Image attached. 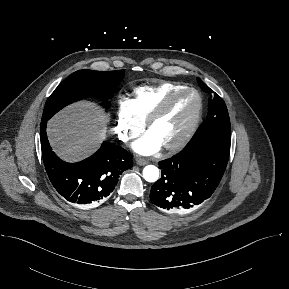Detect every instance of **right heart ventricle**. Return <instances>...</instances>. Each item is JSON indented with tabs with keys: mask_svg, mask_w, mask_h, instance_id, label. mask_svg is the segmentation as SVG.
Segmentation results:
<instances>
[{
	"mask_svg": "<svg viewBox=\"0 0 289 289\" xmlns=\"http://www.w3.org/2000/svg\"><path fill=\"white\" fill-rule=\"evenodd\" d=\"M182 87H185V85L177 82L137 87L134 90V97L131 99L135 115L144 123L150 113L168 94Z\"/></svg>",
	"mask_w": 289,
	"mask_h": 289,
	"instance_id": "1",
	"label": "right heart ventricle"
}]
</instances>
